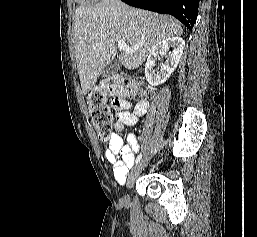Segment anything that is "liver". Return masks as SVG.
I'll use <instances>...</instances> for the list:
<instances>
[{"label": "liver", "instance_id": "1", "mask_svg": "<svg viewBox=\"0 0 257 237\" xmlns=\"http://www.w3.org/2000/svg\"><path fill=\"white\" fill-rule=\"evenodd\" d=\"M182 33L175 18L135 9L120 0L81 4L75 11L73 35L82 92L91 90L105 66L115 58L118 40L130 47L121 51L119 62L131 70L143 64L156 43Z\"/></svg>", "mask_w": 257, "mask_h": 237}]
</instances>
